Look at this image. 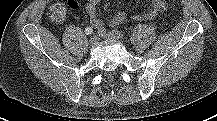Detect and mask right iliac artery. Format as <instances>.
Returning a JSON list of instances; mask_svg holds the SVG:
<instances>
[{"mask_svg":"<svg viewBox=\"0 0 217 121\" xmlns=\"http://www.w3.org/2000/svg\"><path fill=\"white\" fill-rule=\"evenodd\" d=\"M105 33V30H98V36H102Z\"/></svg>","mask_w":217,"mask_h":121,"instance_id":"82829eb1","label":"right iliac artery"}]
</instances>
